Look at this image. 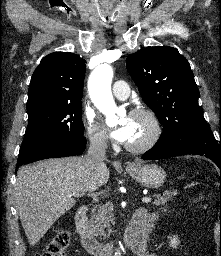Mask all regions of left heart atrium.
<instances>
[{"label":"left heart atrium","instance_id":"39dd6f15","mask_svg":"<svg viewBox=\"0 0 221 256\" xmlns=\"http://www.w3.org/2000/svg\"><path fill=\"white\" fill-rule=\"evenodd\" d=\"M133 133V124L131 118H126L121 125L112 130L110 135L119 142H128Z\"/></svg>","mask_w":221,"mask_h":256}]
</instances>
